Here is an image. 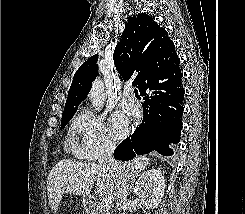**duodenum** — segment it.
Listing matches in <instances>:
<instances>
[{
  "mask_svg": "<svg viewBox=\"0 0 245 214\" xmlns=\"http://www.w3.org/2000/svg\"><path fill=\"white\" fill-rule=\"evenodd\" d=\"M85 207L88 212H94L95 211V203L92 200H86L85 201Z\"/></svg>",
  "mask_w": 245,
  "mask_h": 214,
  "instance_id": "1",
  "label": "duodenum"
}]
</instances>
